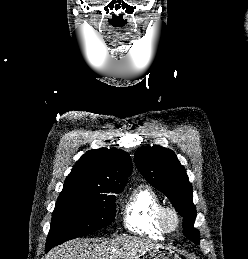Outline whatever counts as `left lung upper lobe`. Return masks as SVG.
I'll return each instance as SVG.
<instances>
[{"label": "left lung upper lobe", "mask_w": 248, "mask_h": 259, "mask_svg": "<svg viewBox=\"0 0 248 259\" xmlns=\"http://www.w3.org/2000/svg\"><path fill=\"white\" fill-rule=\"evenodd\" d=\"M135 164L146 180L163 192L183 217V234L199 244V231L194 228L196 208L192 185L174 152L161 146L143 147L135 153Z\"/></svg>", "instance_id": "5c2ea615"}]
</instances>
